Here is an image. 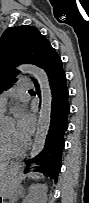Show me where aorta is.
<instances>
[{
	"mask_svg": "<svg viewBox=\"0 0 89 203\" xmlns=\"http://www.w3.org/2000/svg\"><path fill=\"white\" fill-rule=\"evenodd\" d=\"M18 69L21 72L32 75L37 80L41 90V107L37 121V129L29 154V159H32L42 152L45 147L46 137L51 122L52 92L48 75L43 69L32 64L21 65Z\"/></svg>",
	"mask_w": 89,
	"mask_h": 203,
	"instance_id": "762f6f07",
	"label": "aorta"
}]
</instances>
